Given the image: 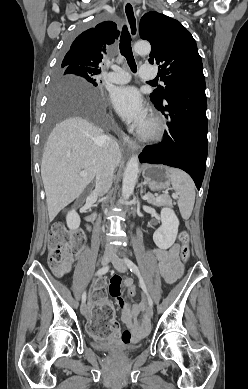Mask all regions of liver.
<instances>
[{
  "mask_svg": "<svg viewBox=\"0 0 248 389\" xmlns=\"http://www.w3.org/2000/svg\"><path fill=\"white\" fill-rule=\"evenodd\" d=\"M62 94L66 95L67 91ZM79 94L87 103L97 104L93 101L91 88L79 85ZM61 102L68 100L62 99ZM107 138L92 122L81 117L65 119L54 127L47 139L41 162L50 221L93 181ZM121 157L119 152L116 166ZM81 170L86 171L87 175L80 176Z\"/></svg>",
  "mask_w": 248,
  "mask_h": 389,
  "instance_id": "1",
  "label": "liver"
}]
</instances>
